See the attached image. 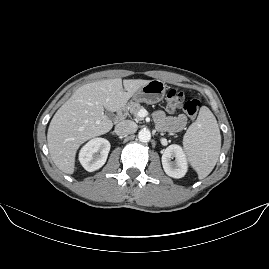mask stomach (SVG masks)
Returning <instances> with one entry per match:
<instances>
[{"label": "stomach", "instance_id": "1", "mask_svg": "<svg viewBox=\"0 0 269 269\" xmlns=\"http://www.w3.org/2000/svg\"><path fill=\"white\" fill-rule=\"evenodd\" d=\"M166 92V85L161 80H151L141 87L133 96L132 100L139 103L154 104L161 101Z\"/></svg>", "mask_w": 269, "mask_h": 269}]
</instances>
